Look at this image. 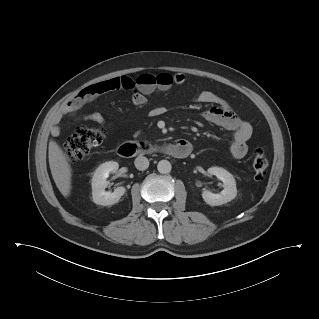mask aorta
<instances>
[{"label": "aorta", "instance_id": "762f6f07", "mask_svg": "<svg viewBox=\"0 0 319 319\" xmlns=\"http://www.w3.org/2000/svg\"><path fill=\"white\" fill-rule=\"evenodd\" d=\"M157 169H158L159 173L167 174V173H170V171L172 169V165L168 160H161V161H159V163L157 165Z\"/></svg>", "mask_w": 319, "mask_h": 319}]
</instances>
